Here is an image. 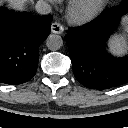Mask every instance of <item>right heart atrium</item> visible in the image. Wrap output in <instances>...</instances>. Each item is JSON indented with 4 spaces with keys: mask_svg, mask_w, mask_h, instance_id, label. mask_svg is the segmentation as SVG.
I'll use <instances>...</instances> for the list:
<instances>
[{
    "mask_svg": "<svg viewBox=\"0 0 128 128\" xmlns=\"http://www.w3.org/2000/svg\"><path fill=\"white\" fill-rule=\"evenodd\" d=\"M47 1L53 3V2H57L58 0H47Z\"/></svg>",
    "mask_w": 128,
    "mask_h": 128,
    "instance_id": "obj_1",
    "label": "right heart atrium"
}]
</instances>
